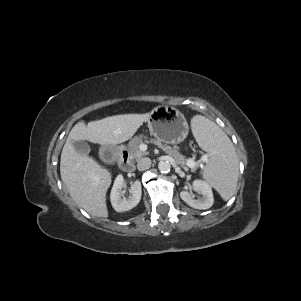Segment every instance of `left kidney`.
<instances>
[{"label":"left kidney","instance_id":"5707ae66","mask_svg":"<svg viewBox=\"0 0 301 301\" xmlns=\"http://www.w3.org/2000/svg\"><path fill=\"white\" fill-rule=\"evenodd\" d=\"M193 190L201 194L202 197L195 199L194 195L190 192L181 191L180 197L186 204L200 210L209 209L213 205L214 197L209 183L202 180H195L193 182Z\"/></svg>","mask_w":301,"mask_h":301}]
</instances>
